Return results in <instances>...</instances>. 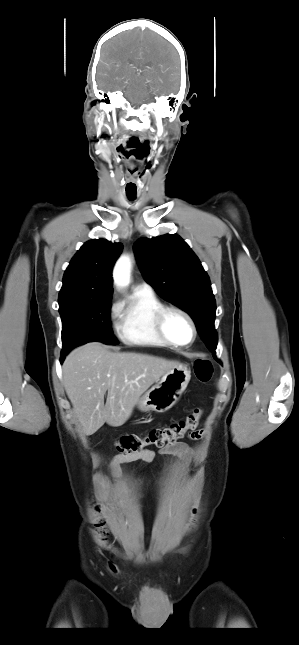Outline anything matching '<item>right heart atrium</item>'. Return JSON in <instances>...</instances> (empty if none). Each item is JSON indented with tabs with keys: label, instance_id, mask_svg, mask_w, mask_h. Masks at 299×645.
Masks as SVG:
<instances>
[{
	"label": "right heart atrium",
	"instance_id": "d8ad5b80",
	"mask_svg": "<svg viewBox=\"0 0 299 645\" xmlns=\"http://www.w3.org/2000/svg\"><path fill=\"white\" fill-rule=\"evenodd\" d=\"M119 304L117 302H112L109 308L110 314H115L118 312Z\"/></svg>",
	"mask_w": 299,
	"mask_h": 645
}]
</instances>
